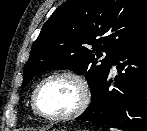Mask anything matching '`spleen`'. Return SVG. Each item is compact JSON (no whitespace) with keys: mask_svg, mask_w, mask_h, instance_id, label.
<instances>
[{"mask_svg":"<svg viewBox=\"0 0 147 131\" xmlns=\"http://www.w3.org/2000/svg\"><path fill=\"white\" fill-rule=\"evenodd\" d=\"M110 131H116V130H114V129H110Z\"/></svg>","mask_w":147,"mask_h":131,"instance_id":"obj_1","label":"spleen"}]
</instances>
